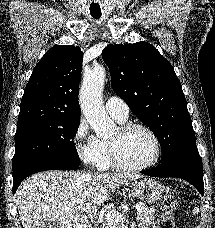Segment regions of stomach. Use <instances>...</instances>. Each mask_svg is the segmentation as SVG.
Wrapping results in <instances>:
<instances>
[{"label": "stomach", "instance_id": "0dacf381", "mask_svg": "<svg viewBox=\"0 0 215 228\" xmlns=\"http://www.w3.org/2000/svg\"><path fill=\"white\" fill-rule=\"evenodd\" d=\"M130 188H132L136 198H139L142 202H149V204H155L157 200L164 196L165 192L164 186H161L157 180H151V178L140 180V182H132Z\"/></svg>", "mask_w": 215, "mask_h": 228}]
</instances>
